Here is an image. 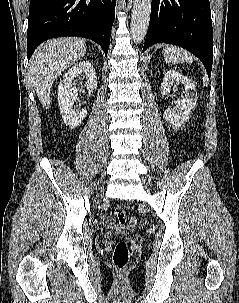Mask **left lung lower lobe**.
<instances>
[{"label":"left lung lower lobe","instance_id":"1","mask_svg":"<svg viewBox=\"0 0 239 303\" xmlns=\"http://www.w3.org/2000/svg\"><path fill=\"white\" fill-rule=\"evenodd\" d=\"M163 42L193 53L202 61L210 78L213 34L209 0H152L143 51Z\"/></svg>","mask_w":239,"mask_h":303}]
</instances>
